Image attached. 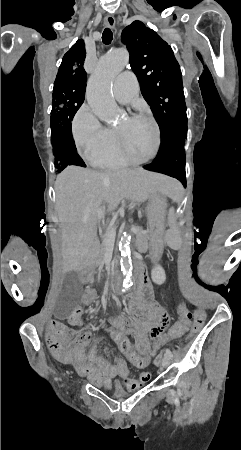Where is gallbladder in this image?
I'll list each match as a JSON object with an SVG mask.
<instances>
[{
    "label": "gallbladder",
    "mask_w": 241,
    "mask_h": 450,
    "mask_svg": "<svg viewBox=\"0 0 241 450\" xmlns=\"http://www.w3.org/2000/svg\"><path fill=\"white\" fill-rule=\"evenodd\" d=\"M82 284L77 272H68L64 276V286L61 296L56 302L54 317L58 323H63L74 310H79Z\"/></svg>",
    "instance_id": "1"
}]
</instances>
